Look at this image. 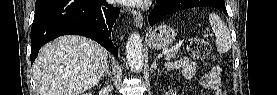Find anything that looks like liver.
<instances>
[{"instance_id": "obj_1", "label": "liver", "mask_w": 277, "mask_h": 95, "mask_svg": "<svg viewBox=\"0 0 277 95\" xmlns=\"http://www.w3.org/2000/svg\"><path fill=\"white\" fill-rule=\"evenodd\" d=\"M108 51L82 36H61L44 45L33 65L39 95H80L104 74Z\"/></svg>"}]
</instances>
